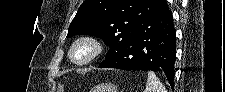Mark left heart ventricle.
<instances>
[{"instance_id": "left-heart-ventricle-1", "label": "left heart ventricle", "mask_w": 225, "mask_h": 92, "mask_svg": "<svg viewBox=\"0 0 225 92\" xmlns=\"http://www.w3.org/2000/svg\"><path fill=\"white\" fill-rule=\"evenodd\" d=\"M88 50L84 47H79L76 52H75V56L77 58H82L87 54Z\"/></svg>"}]
</instances>
